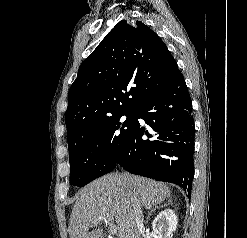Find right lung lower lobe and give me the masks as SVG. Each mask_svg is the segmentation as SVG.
<instances>
[{
	"label": "right lung lower lobe",
	"mask_w": 247,
	"mask_h": 238,
	"mask_svg": "<svg viewBox=\"0 0 247 238\" xmlns=\"http://www.w3.org/2000/svg\"><path fill=\"white\" fill-rule=\"evenodd\" d=\"M135 116V125L117 164L132 174L179 185L190 196L194 121L191 97L180 70L135 111ZM138 118L149 127H141Z\"/></svg>",
	"instance_id": "obj_1"
}]
</instances>
